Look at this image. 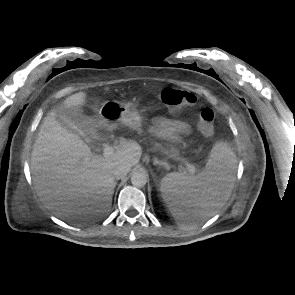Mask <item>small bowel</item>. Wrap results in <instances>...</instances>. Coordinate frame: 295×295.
Here are the masks:
<instances>
[{"label":"small bowel","instance_id":"1","mask_svg":"<svg viewBox=\"0 0 295 295\" xmlns=\"http://www.w3.org/2000/svg\"><path fill=\"white\" fill-rule=\"evenodd\" d=\"M157 131L164 137L175 139L189 132V125L181 120L159 119L156 121Z\"/></svg>","mask_w":295,"mask_h":295}]
</instances>
